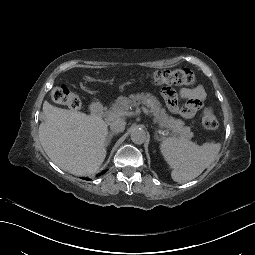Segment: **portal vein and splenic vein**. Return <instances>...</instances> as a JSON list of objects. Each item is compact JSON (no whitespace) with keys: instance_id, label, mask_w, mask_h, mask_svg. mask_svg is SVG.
<instances>
[{"instance_id":"obj_1","label":"portal vein and splenic vein","mask_w":255,"mask_h":255,"mask_svg":"<svg viewBox=\"0 0 255 255\" xmlns=\"http://www.w3.org/2000/svg\"><path fill=\"white\" fill-rule=\"evenodd\" d=\"M139 110L142 114L149 116V119L152 120V123H155V120H153L152 114L149 113V110L145 107H139ZM156 126H159V123H156ZM159 129H162V126H159Z\"/></svg>"}]
</instances>
